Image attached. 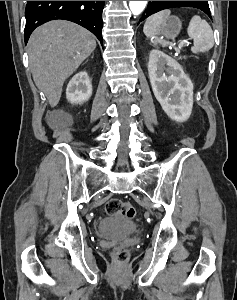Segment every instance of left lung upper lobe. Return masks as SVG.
<instances>
[{"instance_id":"obj_1","label":"left lung upper lobe","mask_w":237,"mask_h":300,"mask_svg":"<svg viewBox=\"0 0 237 300\" xmlns=\"http://www.w3.org/2000/svg\"><path fill=\"white\" fill-rule=\"evenodd\" d=\"M177 7L198 8L211 18L208 1H149L148 7L144 11L140 21L161 10Z\"/></svg>"}]
</instances>
